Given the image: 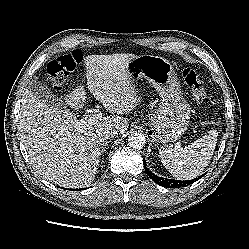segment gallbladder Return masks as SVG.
<instances>
[{"mask_svg": "<svg viewBox=\"0 0 249 249\" xmlns=\"http://www.w3.org/2000/svg\"><path fill=\"white\" fill-rule=\"evenodd\" d=\"M27 89L33 96L50 106L59 109H66L67 107L66 103L61 98L55 96L48 86L39 81H31Z\"/></svg>", "mask_w": 249, "mask_h": 249, "instance_id": "gallbladder-1", "label": "gallbladder"}]
</instances>
